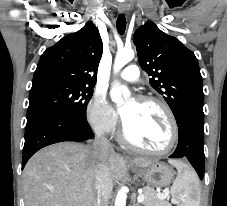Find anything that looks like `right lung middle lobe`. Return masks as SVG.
I'll list each match as a JSON object with an SVG mask.
<instances>
[{"instance_id": "obj_1", "label": "right lung middle lobe", "mask_w": 227, "mask_h": 206, "mask_svg": "<svg viewBox=\"0 0 227 206\" xmlns=\"http://www.w3.org/2000/svg\"><path fill=\"white\" fill-rule=\"evenodd\" d=\"M93 87L46 80L33 83L29 96L27 117L42 111L85 117L86 106Z\"/></svg>"}]
</instances>
